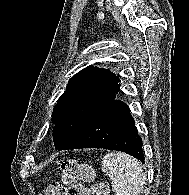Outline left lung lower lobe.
Returning a JSON list of instances; mask_svg holds the SVG:
<instances>
[{"instance_id":"obj_1","label":"left lung lower lobe","mask_w":189,"mask_h":195,"mask_svg":"<svg viewBox=\"0 0 189 195\" xmlns=\"http://www.w3.org/2000/svg\"><path fill=\"white\" fill-rule=\"evenodd\" d=\"M103 148L122 151L144 163L142 139L138 136L129 107L113 97L82 123L56 148Z\"/></svg>"}]
</instances>
